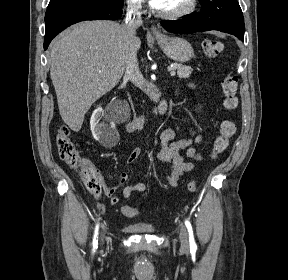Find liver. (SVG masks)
Listing matches in <instances>:
<instances>
[{
	"instance_id": "1",
	"label": "liver",
	"mask_w": 288,
	"mask_h": 280,
	"mask_svg": "<svg viewBox=\"0 0 288 280\" xmlns=\"http://www.w3.org/2000/svg\"><path fill=\"white\" fill-rule=\"evenodd\" d=\"M141 40L132 42L124 26L114 21H86L74 25L51 46L50 76L60 115L75 132L91 105L111 91L126 69V56Z\"/></svg>"
}]
</instances>
